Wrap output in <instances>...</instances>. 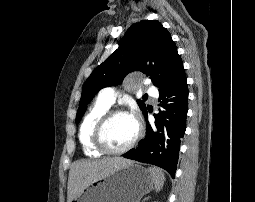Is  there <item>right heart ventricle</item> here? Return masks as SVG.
<instances>
[{
  "instance_id": "obj_1",
  "label": "right heart ventricle",
  "mask_w": 255,
  "mask_h": 202,
  "mask_svg": "<svg viewBox=\"0 0 255 202\" xmlns=\"http://www.w3.org/2000/svg\"><path fill=\"white\" fill-rule=\"evenodd\" d=\"M110 105L98 99L86 112L80 128H79V140L83 149V152L90 157H98L102 154L98 150L92 141V135L94 127L100 117L109 110Z\"/></svg>"
}]
</instances>
